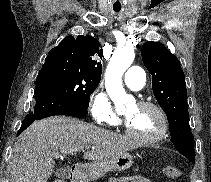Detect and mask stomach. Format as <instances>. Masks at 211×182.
Masks as SVG:
<instances>
[{
    "mask_svg": "<svg viewBox=\"0 0 211 182\" xmlns=\"http://www.w3.org/2000/svg\"><path fill=\"white\" fill-rule=\"evenodd\" d=\"M133 164V157L125 152L118 156L96 161L75 174L76 182H92L103 177L107 172L125 171Z\"/></svg>",
    "mask_w": 211,
    "mask_h": 182,
    "instance_id": "1",
    "label": "stomach"
}]
</instances>
